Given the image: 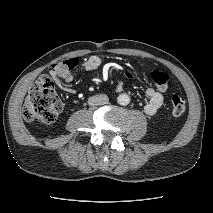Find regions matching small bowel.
Masks as SVG:
<instances>
[{
  "instance_id": "obj_1",
  "label": "small bowel",
  "mask_w": 213,
  "mask_h": 213,
  "mask_svg": "<svg viewBox=\"0 0 213 213\" xmlns=\"http://www.w3.org/2000/svg\"><path fill=\"white\" fill-rule=\"evenodd\" d=\"M79 68L84 71H95L101 69L103 72H108L112 68V65L110 63H104L99 56L92 55L83 60L79 64ZM51 75L54 78L58 79L59 86L64 91L71 94L75 93V90L67 85L68 82L73 80L74 78L73 73L69 72L62 77L55 76L53 72H51ZM128 77L131 78L132 75L128 74ZM123 87H124L123 82L119 81L117 83V90L121 91ZM145 95L148 97V102L144 106V112L149 116H153L163 105L164 101L163 95L162 93H160L159 91L155 90L152 87H147L145 89Z\"/></svg>"
}]
</instances>
